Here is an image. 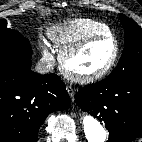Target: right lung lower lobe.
<instances>
[{"label": "right lung lower lobe", "instance_id": "98d812e1", "mask_svg": "<svg viewBox=\"0 0 142 142\" xmlns=\"http://www.w3.org/2000/svg\"><path fill=\"white\" fill-rule=\"evenodd\" d=\"M69 104L58 75L37 74L16 64L0 65V142H37L46 117Z\"/></svg>", "mask_w": 142, "mask_h": 142}]
</instances>
